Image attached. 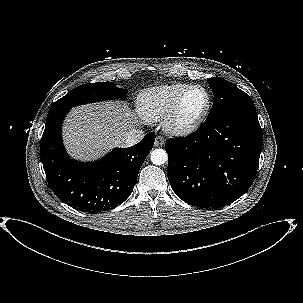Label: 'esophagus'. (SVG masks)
<instances>
[{
    "label": "esophagus",
    "instance_id": "obj_1",
    "mask_svg": "<svg viewBox=\"0 0 303 303\" xmlns=\"http://www.w3.org/2000/svg\"><path fill=\"white\" fill-rule=\"evenodd\" d=\"M164 143H165V140H164L163 137L157 136V137L155 138L154 145H155L156 147H162V146L164 145Z\"/></svg>",
    "mask_w": 303,
    "mask_h": 303
}]
</instances>
